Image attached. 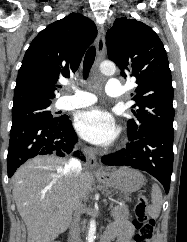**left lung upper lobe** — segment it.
Masks as SVG:
<instances>
[{
  "label": "left lung upper lobe",
  "instance_id": "5c2ea615",
  "mask_svg": "<svg viewBox=\"0 0 187 242\" xmlns=\"http://www.w3.org/2000/svg\"><path fill=\"white\" fill-rule=\"evenodd\" d=\"M109 59L123 77L136 78L131 107L135 119L127 122L129 139L149 133H173V87L164 46L147 25L130 18H117L106 34Z\"/></svg>",
  "mask_w": 187,
  "mask_h": 242
}]
</instances>
